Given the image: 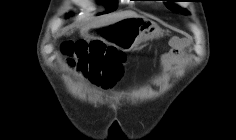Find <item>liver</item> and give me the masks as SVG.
<instances>
[{
	"label": "liver",
	"mask_w": 236,
	"mask_h": 140,
	"mask_svg": "<svg viewBox=\"0 0 236 140\" xmlns=\"http://www.w3.org/2000/svg\"><path fill=\"white\" fill-rule=\"evenodd\" d=\"M130 16H138V15L134 12L115 13V14H112V15L106 17L105 19H103L97 23H94L92 25L84 27L82 30L89 31L91 29L102 28V27L108 26L110 24H113L121 19H124L126 17H130Z\"/></svg>",
	"instance_id": "6515ba94"
}]
</instances>
